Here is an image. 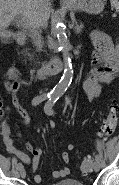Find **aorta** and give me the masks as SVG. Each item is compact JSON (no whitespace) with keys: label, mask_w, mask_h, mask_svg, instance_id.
<instances>
[{"label":"aorta","mask_w":119,"mask_h":185,"mask_svg":"<svg viewBox=\"0 0 119 185\" xmlns=\"http://www.w3.org/2000/svg\"><path fill=\"white\" fill-rule=\"evenodd\" d=\"M53 34L57 38L58 49L62 53L64 62V72L59 83L53 88V95H61L70 85L73 77V68L70 57V47L68 45V39L66 35V28L63 24V18L56 15L52 22Z\"/></svg>","instance_id":"aorta-1"}]
</instances>
